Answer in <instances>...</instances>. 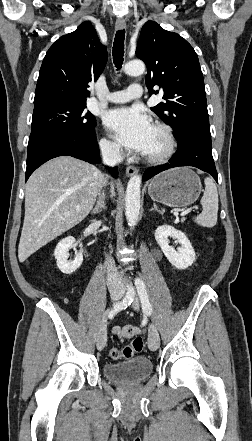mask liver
<instances>
[{
	"label": "liver",
	"instance_id": "liver-1",
	"mask_svg": "<svg viewBox=\"0 0 252 441\" xmlns=\"http://www.w3.org/2000/svg\"><path fill=\"white\" fill-rule=\"evenodd\" d=\"M104 184L94 165L71 156L51 159L34 171L26 184L19 261L82 222Z\"/></svg>",
	"mask_w": 252,
	"mask_h": 441
}]
</instances>
